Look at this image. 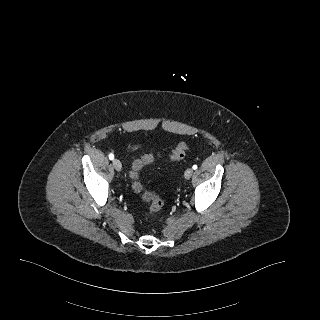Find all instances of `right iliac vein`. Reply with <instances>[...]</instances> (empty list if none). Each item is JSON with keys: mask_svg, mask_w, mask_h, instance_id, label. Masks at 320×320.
<instances>
[{"mask_svg": "<svg viewBox=\"0 0 320 320\" xmlns=\"http://www.w3.org/2000/svg\"><path fill=\"white\" fill-rule=\"evenodd\" d=\"M113 166L116 171H121V169H122L121 162L118 159L113 160Z\"/></svg>", "mask_w": 320, "mask_h": 320, "instance_id": "obj_1", "label": "right iliac vein"}]
</instances>
